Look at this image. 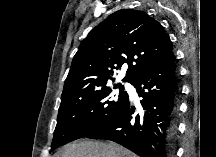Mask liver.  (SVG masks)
Instances as JSON below:
<instances>
[{
    "instance_id": "1",
    "label": "liver",
    "mask_w": 216,
    "mask_h": 157,
    "mask_svg": "<svg viewBox=\"0 0 216 157\" xmlns=\"http://www.w3.org/2000/svg\"><path fill=\"white\" fill-rule=\"evenodd\" d=\"M55 157H136L134 153L113 143L83 141L62 148Z\"/></svg>"
}]
</instances>
